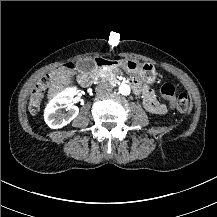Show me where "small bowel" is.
I'll return each mask as SVG.
<instances>
[{
    "label": "small bowel",
    "mask_w": 217,
    "mask_h": 217,
    "mask_svg": "<svg viewBox=\"0 0 217 217\" xmlns=\"http://www.w3.org/2000/svg\"><path fill=\"white\" fill-rule=\"evenodd\" d=\"M135 92L143 93V105L148 112L160 115L166 113V105L156 99L154 92L148 86L138 83Z\"/></svg>",
    "instance_id": "c3829d8e"
}]
</instances>
